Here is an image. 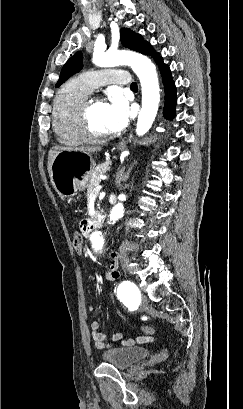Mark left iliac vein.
I'll list each match as a JSON object with an SVG mask.
<instances>
[{
  "mask_svg": "<svg viewBox=\"0 0 243 409\" xmlns=\"http://www.w3.org/2000/svg\"><path fill=\"white\" fill-rule=\"evenodd\" d=\"M147 306V300L145 298L142 299V307L145 308Z\"/></svg>",
  "mask_w": 243,
  "mask_h": 409,
  "instance_id": "obj_1",
  "label": "left iliac vein"
}]
</instances>
